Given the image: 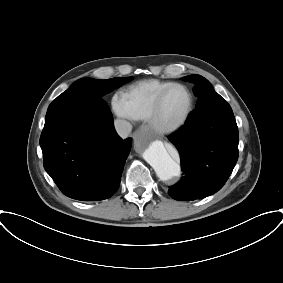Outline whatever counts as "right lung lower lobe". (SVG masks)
Segmentation results:
<instances>
[{
  "label": "right lung lower lobe",
  "instance_id": "1",
  "mask_svg": "<svg viewBox=\"0 0 283 283\" xmlns=\"http://www.w3.org/2000/svg\"><path fill=\"white\" fill-rule=\"evenodd\" d=\"M40 146L44 168L64 195L99 201L119 188L131 138L116 134L111 111L98 104L46 118Z\"/></svg>",
  "mask_w": 283,
  "mask_h": 283
}]
</instances>
